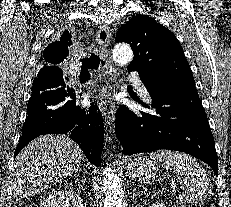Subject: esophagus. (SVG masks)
<instances>
[{"label":"esophagus","mask_w":231,"mask_h":207,"mask_svg":"<svg viewBox=\"0 0 231 207\" xmlns=\"http://www.w3.org/2000/svg\"><path fill=\"white\" fill-rule=\"evenodd\" d=\"M109 40V27L106 25H101L96 35L97 50L101 55L108 56ZM111 90L112 87L107 83L103 86L101 94V112L107 124L108 133L113 132V122L116 112L115 106L110 98Z\"/></svg>","instance_id":"1"}]
</instances>
